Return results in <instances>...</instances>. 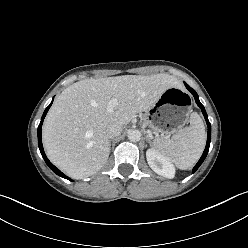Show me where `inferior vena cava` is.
Segmentation results:
<instances>
[{"instance_id":"602c4592","label":"inferior vena cava","mask_w":248,"mask_h":248,"mask_svg":"<svg viewBox=\"0 0 248 248\" xmlns=\"http://www.w3.org/2000/svg\"><path fill=\"white\" fill-rule=\"evenodd\" d=\"M122 126L118 124H111L106 129V135L108 138H114L121 134Z\"/></svg>"}]
</instances>
